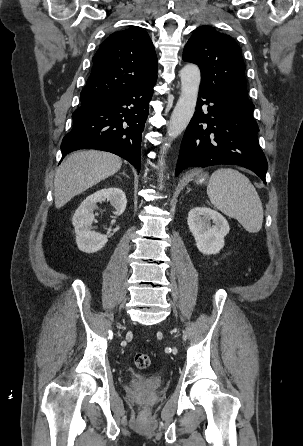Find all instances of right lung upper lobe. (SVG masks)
I'll use <instances>...</instances> for the list:
<instances>
[{"mask_svg":"<svg viewBox=\"0 0 303 446\" xmlns=\"http://www.w3.org/2000/svg\"><path fill=\"white\" fill-rule=\"evenodd\" d=\"M92 61V73L81 92V103L157 79L155 49L141 27L111 34L101 43Z\"/></svg>","mask_w":303,"mask_h":446,"instance_id":"obj_1","label":"right lung upper lobe"}]
</instances>
